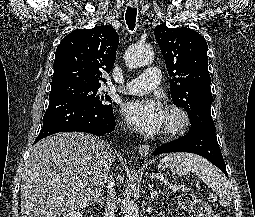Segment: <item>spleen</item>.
I'll use <instances>...</instances> for the list:
<instances>
[{"label": "spleen", "mask_w": 255, "mask_h": 217, "mask_svg": "<svg viewBox=\"0 0 255 217\" xmlns=\"http://www.w3.org/2000/svg\"><path fill=\"white\" fill-rule=\"evenodd\" d=\"M163 162H175L195 173L208 187L219 196V203L222 207L228 206L232 201V185L229 180L206 159L189 153L168 154L161 160Z\"/></svg>", "instance_id": "3e777b00"}]
</instances>
